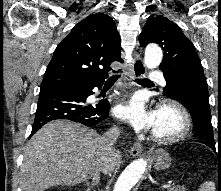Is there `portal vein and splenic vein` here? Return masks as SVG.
Returning <instances> with one entry per match:
<instances>
[{
  "label": "portal vein and splenic vein",
  "instance_id": "1",
  "mask_svg": "<svg viewBox=\"0 0 221 191\" xmlns=\"http://www.w3.org/2000/svg\"><path fill=\"white\" fill-rule=\"evenodd\" d=\"M172 182H168V184L163 185L164 188H170L172 186Z\"/></svg>",
  "mask_w": 221,
  "mask_h": 191
}]
</instances>
